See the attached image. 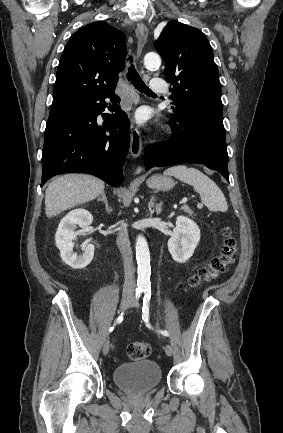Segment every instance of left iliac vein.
<instances>
[{
    "label": "left iliac vein",
    "mask_w": 283,
    "mask_h": 433,
    "mask_svg": "<svg viewBox=\"0 0 283 433\" xmlns=\"http://www.w3.org/2000/svg\"><path fill=\"white\" fill-rule=\"evenodd\" d=\"M132 307H139L138 302H136L134 299L132 301ZM165 352H166V354L168 356H172L173 355V349H172L171 345L167 344L165 346Z\"/></svg>",
    "instance_id": "obj_1"
}]
</instances>
